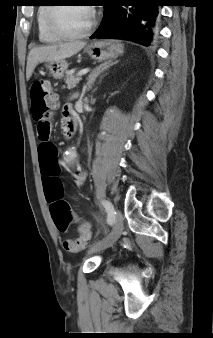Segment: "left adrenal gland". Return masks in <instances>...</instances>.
<instances>
[{
  "label": "left adrenal gland",
  "mask_w": 213,
  "mask_h": 338,
  "mask_svg": "<svg viewBox=\"0 0 213 338\" xmlns=\"http://www.w3.org/2000/svg\"><path fill=\"white\" fill-rule=\"evenodd\" d=\"M118 63V61H107L104 62L102 64H100L99 66H97L88 76V82H87V86L88 89H90L92 87V85L94 84L96 78L103 73L104 71H106L107 69H109L111 66H113L114 64Z\"/></svg>",
  "instance_id": "left-adrenal-gland-1"
}]
</instances>
